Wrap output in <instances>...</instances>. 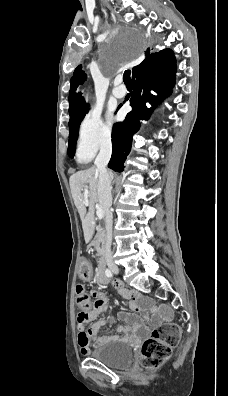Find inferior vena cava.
<instances>
[{"instance_id":"obj_1","label":"inferior vena cava","mask_w":228,"mask_h":396,"mask_svg":"<svg viewBox=\"0 0 228 396\" xmlns=\"http://www.w3.org/2000/svg\"><path fill=\"white\" fill-rule=\"evenodd\" d=\"M112 153V144L110 141L102 143L100 152L95 159V165L99 172L98 180V193L100 196L102 208L105 215V254L111 255V243H112V213L110 211L112 205V186L111 177L106 169V166L110 160Z\"/></svg>"}]
</instances>
